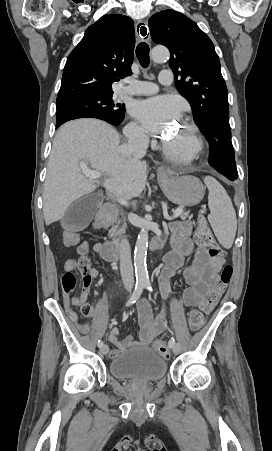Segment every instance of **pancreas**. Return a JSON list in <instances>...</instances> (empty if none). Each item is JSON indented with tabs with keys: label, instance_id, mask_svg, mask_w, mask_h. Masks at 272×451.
Wrapping results in <instances>:
<instances>
[{
	"label": "pancreas",
	"instance_id": "pancreas-1",
	"mask_svg": "<svg viewBox=\"0 0 272 451\" xmlns=\"http://www.w3.org/2000/svg\"><path fill=\"white\" fill-rule=\"evenodd\" d=\"M188 216L189 212H182V214H180L181 220H187ZM120 224L121 222H118L116 226H113L111 227V229H109V237H112V241L113 243H115V245H119L122 233H125L126 229V224H123V226H120Z\"/></svg>",
	"mask_w": 272,
	"mask_h": 451
}]
</instances>
